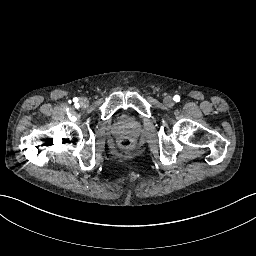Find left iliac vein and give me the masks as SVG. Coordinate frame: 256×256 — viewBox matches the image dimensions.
Listing matches in <instances>:
<instances>
[{
  "instance_id": "4c4485c4",
  "label": "left iliac vein",
  "mask_w": 256,
  "mask_h": 256,
  "mask_svg": "<svg viewBox=\"0 0 256 256\" xmlns=\"http://www.w3.org/2000/svg\"><path fill=\"white\" fill-rule=\"evenodd\" d=\"M163 102L167 107H172L174 105L173 98L169 95L164 98Z\"/></svg>"
}]
</instances>
